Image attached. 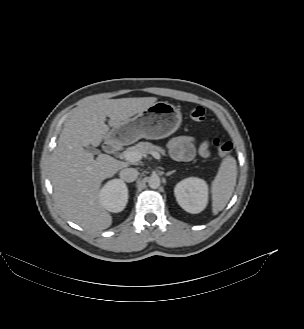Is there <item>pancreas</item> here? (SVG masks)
Wrapping results in <instances>:
<instances>
[{
    "label": "pancreas",
    "instance_id": "obj_1",
    "mask_svg": "<svg viewBox=\"0 0 304 329\" xmlns=\"http://www.w3.org/2000/svg\"><path fill=\"white\" fill-rule=\"evenodd\" d=\"M126 151H139L144 156L150 154L152 151H156L161 153L162 155H166V151L162 147L153 145L150 142H138L135 146L127 148Z\"/></svg>",
    "mask_w": 304,
    "mask_h": 329
}]
</instances>
